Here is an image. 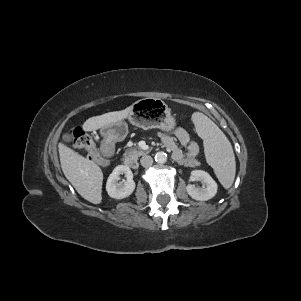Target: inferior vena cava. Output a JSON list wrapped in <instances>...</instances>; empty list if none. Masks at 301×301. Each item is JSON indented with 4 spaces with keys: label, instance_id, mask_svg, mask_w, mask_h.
<instances>
[{
    "label": "inferior vena cava",
    "instance_id": "602c4592",
    "mask_svg": "<svg viewBox=\"0 0 301 301\" xmlns=\"http://www.w3.org/2000/svg\"><path fill=\"white\" fill-rule=\"evenodd\" d=\"M140 162L143 167L148 168L153 164V158L149 155H145L141 158Z\"/></svg>",
    "mask_w": 301,
    "mask_h": 301
}]
</instances>
